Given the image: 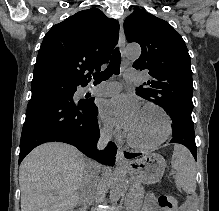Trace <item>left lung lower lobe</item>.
I'll list each match as a JSON object with an SVG mask.
<instances>
[{
  "label": "left lung lower lobe",
  "instance_id": "left-lung-lower-lobe-1",
  "mask_svg": "<svg viewBox=\"0 0 219 211\" xmlns=\"http://www.w3.org/2000/svg\"><path fill=\"white\" fill-rule=\"evenodd\" d=\"M170 143H179L186 146L197 160V151L195 144L194 126H176L173 127L172 139ZM126 158L131 159L140 155L136 153L124 152Z\"/></svg>",
  "mask_w": 219,
  "mask_h": 211
}]
</instances>
